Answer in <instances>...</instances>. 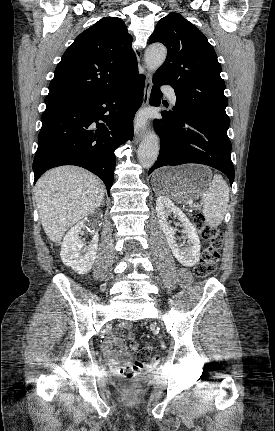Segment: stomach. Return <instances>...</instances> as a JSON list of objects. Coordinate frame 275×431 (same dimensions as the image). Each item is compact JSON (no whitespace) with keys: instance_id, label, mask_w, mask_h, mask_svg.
Masks as SVG:
<instances>
[{"instance_id":"1","label":"stomach","mask_w":275,"mask_h":431,"mask_svg":"<svg viewBox=\"0 0 275 431\" xmlns=\"http://www.w3.org/2000/svg\"><path fill=\"white\" fill-rule=\"evenodd\" d=\"M211 170L199 164L164 167L152 177L155 192L163 194L178 203L198 199L211 185Z\"/></svg>"}]
</instances>
